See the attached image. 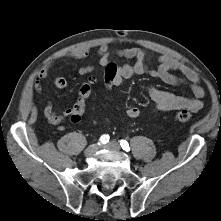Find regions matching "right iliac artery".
Here are the masks:
<instances>
[{
    "label": "right iliac artery",
    "instance_id": "right-iliac-artery-1",
    "mask_svg": "<svg viewBox=\"0 0 221 221\" xmlns=\"http://www.w3.org/2000/svg\"><path fill=\"white\" fill-rule=\"evenodd\" d=\"M109 142V135H102L99 139L98 145L106 144Z\"/></svg>",
    "mask_w": 221,
    "mask_h": 221
}]
</instances>
